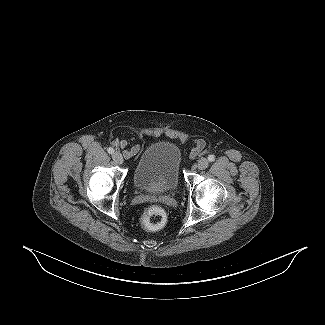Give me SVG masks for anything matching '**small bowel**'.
<instances>
[{
  "mask_svg": "<svg viewBox=\"0 0 325 325\" xmlns=\"http://www.w3.org/2000/svg\"><path fill=\"white\" fill-rule=\"evenodd\" d=\"M115 145H116V147L124 150V155L127 158L136 153V148L135 147H133L131 149H125L126 148V142L124 140H117L115 142Z\"/></svg>",
  "mask_w": 325,
  "mask_h": 325,
  "instance_id": "1",
  "label": "small bowel"
}]
</instances>
